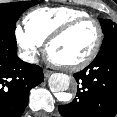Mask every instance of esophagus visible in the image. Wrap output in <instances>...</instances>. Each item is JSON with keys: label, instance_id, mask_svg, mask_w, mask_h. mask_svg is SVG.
I'll list each match as a JSON object with an SVG mask.
<instances>
[{"label": "esophagus", "instance_id": "34e87169", "mask_svg": "<svg viewBox=\"0 0 117 117\" xmlns=\"http://www.w3.org/2000/svg\"><path fill=\"white\" fill-rule=\"evenodd\" d=\"M52 73V71L48 70V69H45L44 70V77L45 78H48L50 76V74Z\"/></svg>", "mask_w": 117, "mask_h": 117}]
</instances>
